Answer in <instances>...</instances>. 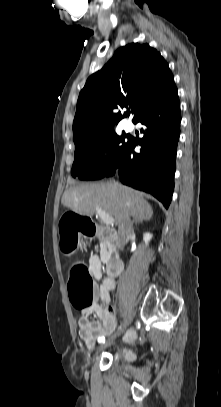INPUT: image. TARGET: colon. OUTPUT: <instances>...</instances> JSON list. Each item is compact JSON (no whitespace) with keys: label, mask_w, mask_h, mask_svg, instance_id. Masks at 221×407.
Wrapping results in <instances>:
<instances>
[{"label":"colon","mask_w":221,"mask_h":407,"mask_svg":"<svg viewBox=\"0 0 221 407\" xmlns=\"http://www.w3.org/2000/svg\"><path fill=\"white\" fill-rule=\"evenodd\" d=\"M78 210H67L59 218L61 245L65 252H71L77 245V239H96V231H101V222H95L93 216H79ZM93 279L89 269L83 264L72 267L68 283V292L73 306L85 310L92 304Z\"/></svg>","instance_id":"obj_1"}]
</instances>
